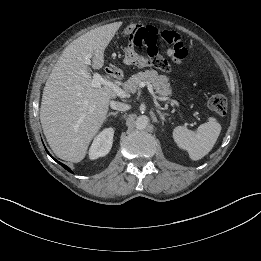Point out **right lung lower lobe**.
Here are the masks:
<instances>
[{
    "label": "right lung lower lobe",
    "mask_w": 261,
    "mask_h": 261,
    "mask_svg": "<svg viewBox=\"0 0 261 261\" xmlns=\"http://www.w3.org/2000/svg\"><path fill=\"white\" fill-rule=\"evenodd\" d=\"M47 151V150H46ZM47 153L49 154V152L47 151ZM50 155V154H49ZM51 156V155H50ZM52 157V156H51ZM53 158V157H52ZM54 159V158H53ZM57 163H59L61 166H63L66 170H68L69 172H72L71 170H70V168L69 167H67L66 165H64V164H62V163H60L59 161H57L56 159H54Z\"/></svg>",
    "instance_id": "98d812e1"
}]
</instances>
